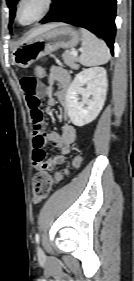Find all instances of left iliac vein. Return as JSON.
<instances>
[{
    "instance_id": "obj_1",
    "label": "left iliac vein",
    "mask_w": 134,
    "mask_h": 281,
    "mask_svg": "<svg viewBox=\"0 0 134 281\" xmlns=\"http://www.w3.org/2000/svg\"><path fill=\"white\" fill-rule=\"evenodd\" d=\"M38 253L41 254L42 253V249L38 248Z\"/></svg>"
}]
</instances>
